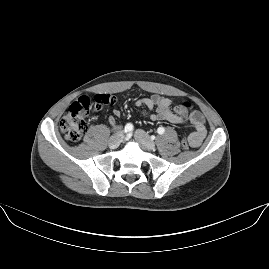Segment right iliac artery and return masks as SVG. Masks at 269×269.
I'll list each match as a JSON object with an SVG mask.
<instances>
[{"mask_svg":"<svg viewBox=\"0 0 269 269\" xmlns=\"http://www.w3.org/2000/svg\"><path fill=\"white\" fill-rule=\"evenodd\" d=\"M132 130H133V125L130 123L126 124V126L124 128V132L130 133Z\"/></svg>","mask_w":269,"mask_h":269,"instance_id":"82829eb1","label":"right iliac artery"}]
</instances>
